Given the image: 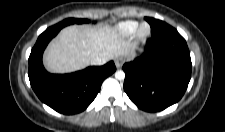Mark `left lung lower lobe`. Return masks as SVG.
Wrapping results in <instances>:
<instances>
[{"mask_svg":"<svg viewBox=\"0 0 225 132\" xmlns=\"http://www.w3.org/2000/svg\"><path fill=\"white\" fill-rule=\"evenodd\" d=\"M145 19L150 26L162 25L160 20ZM191 68L189 49L177 30L152 35L145 53L124 64V90L138 108L161 111L182 98L191 78Z\"/></svg>","mask_w":225,"mask_h":132,"instance_id":"0a47b994","label":"left lung lower lobe"}]
</instances>
